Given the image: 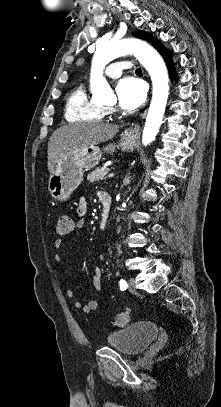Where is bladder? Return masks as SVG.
I'll list each match as a JSON object with an SVG mask.
<instances>
[{
    "label": "bladder",
    "mask_w": 221,
    "mask_h": 407,
    "mask_svg": "<svg viewBox=\"0 0 221 407\" xmlns=\"http://www.w3.org/2000/svg\"><path fill=\"white\" fill-rule=\"evenodd\" d=\"M158 332L153 320H141L106 336L107 342L121 353L135 355L144 351Z\"/></svg>",
    "instance_id": "31cf9c89"
}]
</instances>
